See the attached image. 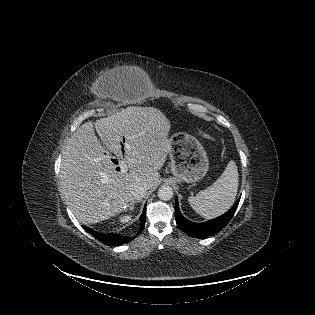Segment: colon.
Wrapping results in <instances>:
<instances>
[{
	"instance_id": "colon-1",
	"label": "colon",
	"mask_w": 315,
	"mask_h": 315,
	"mask_svg": "<svg viewBox=\"0 0 315 315\" xmlns=\"http://www.w3.org/2000/svg\"><path fill=\"white\" fill-rule=\"evenodd\" d=\"M205 136L209 137V135L205 134Z\"/></svg>"
}]
</instances>
